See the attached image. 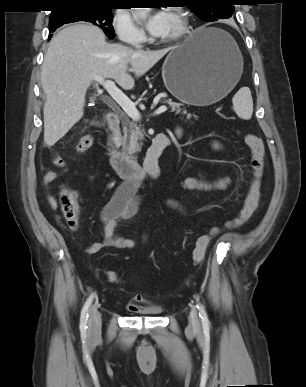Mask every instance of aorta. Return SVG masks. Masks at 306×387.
<instances>
[{
  "label": "aorta",
  "mask_w": 306,
  "mask_h": 387,
  "mask_svg": "<svg viewBox=\"0 0 306 387\" xmlns=\"http://www.w3.org/2000/svg\"><path fill=\"white\" fill-rule=\"evenodd\" d=\"M134 16L135 17H146L148 13V8H134Z\"/></svg>",
  "instance_id": "1"
}]
</instances>
